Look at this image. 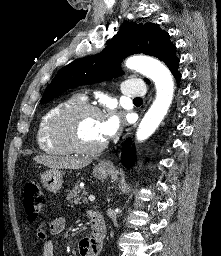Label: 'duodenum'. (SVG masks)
<instances>
[{"mask_svg":"<svg viewBox=\"0 0 221 256\" xmlns=\"http://www.w3.org/2000/svg\"><path fill=\"white\" fill-rule=\"evenodd\" d=\"M105 236V223L102 215L98 212L92 214V225L90 239L96 243L101 244Z\"/></svg>","mask_w":221,"mask_h":256,"instance_id":"1","label":"duodenum"}]
</instances>
